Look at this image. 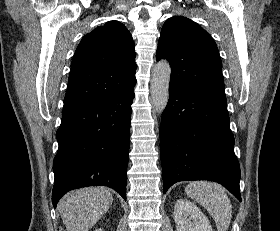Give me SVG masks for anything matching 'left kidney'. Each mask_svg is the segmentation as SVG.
Here are the masks:
<instances>
[{"label": "left kidney", "mask_w": 280, "mask_h": 231, "mask_svg": "<svg viewBox=\"0 0 280 231\" xmlns=\"http://www.w3.org/2000/svg\"><path fill=\"white\" fill-rule=\"evenodd\" d=\"M177 231H213L209 219L187 199H177L174 205Z\"/></svg>", "instance_id": "1"}]
</instances>
